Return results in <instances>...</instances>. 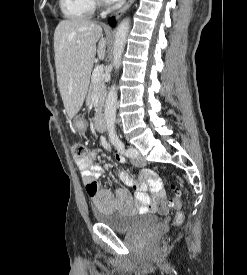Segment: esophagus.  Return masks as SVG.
<instances>
[{
	"mask_svg": "<svg viewBox=\"0 0 247 275\" xmlns=\"http://www.w3.org/2000/svg\"><path fill=\"white\" fill-rule=\"evenodd\" d=\"M133 2L134 0H128V2L115 13L116 18H120L128 10Z\"/></svg>",
	"mask_w": 247,
	"mask_h": 275,
	"instance_id": "34e87169",
	"label": "esophagus"
}]
</instances>
